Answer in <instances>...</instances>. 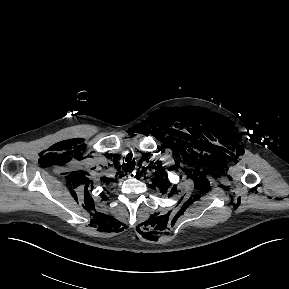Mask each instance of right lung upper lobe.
<instances>
[{
    "label": "right lung upper lobe",
    "instance_id": "obj_1",
    "mask_svg": "<svg viewBox=\"0 0 289 289\" xmlns=\"http://www.w3.org/2000/svg\"><path fill=\"white\" fill-rule=\"evenodd\" d=\"M103 181H105L106 184H109L110 179L106 178V179H104Z\"/></svg>",
    "mask_w": 289,
    "mask_h": 289
}]
</instances>
